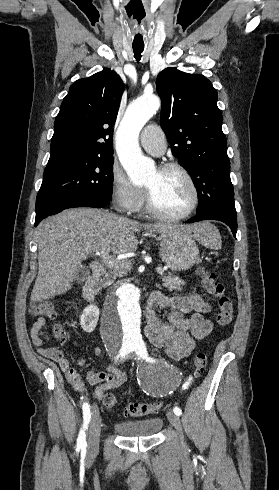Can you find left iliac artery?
Listing matches in <instances>:
<instances>
[{
  "instance_id": "44dca946",
  "label": "left iliac artery",
  "mask_w": 279,
  "mask_h": 490,
  "mask_svg": "<svg viewBox=\"0 0 279 490\" xmlns=\"http://www.w3.org/2000/svg\"><path fill=\"white\" fill-rule=\"evenodd\" d=\"M142 350H143V354H145V356H147V351H146V347L145 346L142 347ZM148 359H150V358H148ZM191 381H192V378L189 377L188 381H186V383H184L183 389H186L189 386V384L191 383ZM173 411H174V413L177 416H180L182 414V410L180 408H178V407H175L173 409Z\"/></svg>"
}]
</instances>
